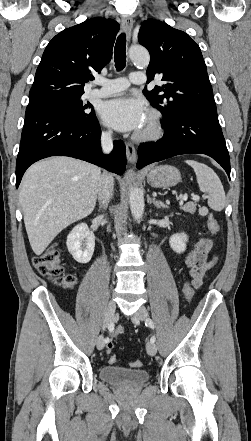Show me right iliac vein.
Returning a JSON list of instances; mask_svg holds the SVG:
<instances>
[{
  "instance_id": "63e3f726",
  "label": "right iliac vein",
  "mask_w": 251,
  "mask_h": 441,
  "mask_svg": "<svg viewBox=\"0 0 251 441\" xmlns=\"http://www.w3.org/2000/svg\"><path fill=\"white\" fill-rule=\"evenodd\" d=\"M116 311V304L113 300L109 301L107 304L105 315H104V325L103 328H106L114 319ZM96 346L98 350H102L105 346L104 336L100 335L97 339Z\"/></svg>"
}]
</instances>
